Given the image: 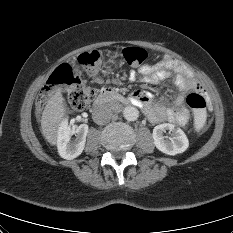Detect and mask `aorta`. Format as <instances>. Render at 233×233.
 Returning <instances> with one entry per match:
<instances>
[{
    "instance_id": "762f6f07",
    "label": "aorta",
    "mask_w": 233,
    "mask_h": 233,
    "mask_svg": "<svg viewBox=\"0 0 233 233\" xmlns=\"http://www.w3.org/2000/svg\"><path fill=\"white\" fill-rule=\"evenodd\" d=\"M123 116L128 121H135L139 117V111L137 108L128 106L123 110Z\"/></svg>"
}]
</instances>
